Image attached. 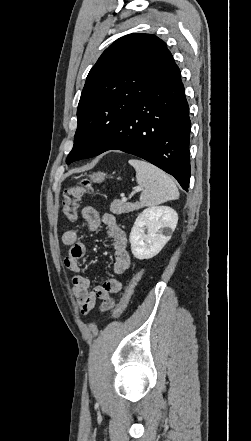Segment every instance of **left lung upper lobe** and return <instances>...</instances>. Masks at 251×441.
Wrapping results in <instances>:
<instances>
[{
	"label": "left lung upper lobe",
	"mask_w": 251,
	"mask_h": 441,
	"mask_svg": "<svg viewBox=\"0 0 251 441\" xmlns=\"http://www.w3.org/2000/svg\"><path fill=\"white\" fill-rule=\"evenodd\" d=\"M172 59L166 43L152 34H129L112 43L87 76L66 163L88 158L94 128L126 116Z\"/></svg>",
	"instance_id": "1"
}]
</instances>
